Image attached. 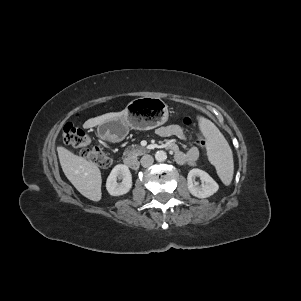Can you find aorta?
I'll use <instances>...</instances> for the list:
<instances>
[{
    "instance_id": "762f6f07",
    "label": "aorta",
    "mask_w": 301,
    "mask_h": 301,
    "mask_svg": "<svg viewBox=\"0 0 301 301\" xmlns=\"http://www.w3.org/2000/svg\"><path fill=\"white\" fill-rule=\"evenodd\" d=\"M155 159L158 161V162H163L167 159V155H166V152L164 151H157L156 154H155Z\"/></svg>"
}]
</instances>
